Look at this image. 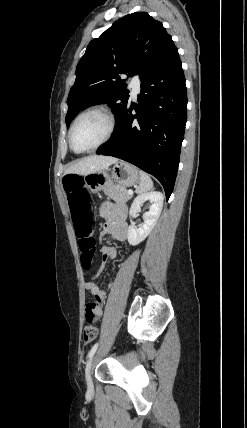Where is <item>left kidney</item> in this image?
Masks as SVG:
<instances>
[{"mask_svg": "<svg viewBox=\"0 0 247 428\" xmlns=\"http://www.w3.org/2000/svg\"><path fill=\"white\" fill-rule=\"evenodd\" d=\"M145 201H150L152 204L148 212L143 214V224L139 227H128V242L130 245H138L142 242L154 228L163 207V194L159 191H152L138 195L132 202L129 214L133 216L140 212L141 206Z\"/></svg>", "mask_w": 247, "mask_h": 428, "instance_id": "1", "label": "left kidney"}]
</instances>
